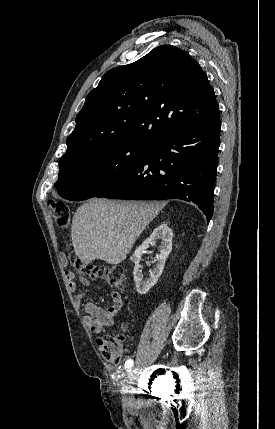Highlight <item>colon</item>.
I'll use <instances>...</instances> for the list:
<instances>
[{"instance_id":"5ec220e1","label":"colon","mask_w":275,"mask_h":429,"mask_svg":"<svg viewBox=\"0 0 275 429\" xmlns=\"http://www.w3.org/2000/svg\"><path fill=\"white\" fill-rule=\"evenodd\" d=\"M55 225L64 229L70 223V210L66 204L58 201L48 203ZM63 263L68 261L65 254L61 255ZM71 263L80 276L84 279H101L114 289L122 288L126 274L123 267L119 265H90L81 261L75 256L70 257ZM100 353L104 360L112 365H119L124 357L123 344L124 336H101L97 339Z\"/></svg>"}]
</instances>
